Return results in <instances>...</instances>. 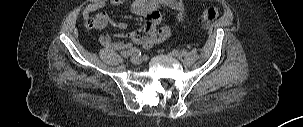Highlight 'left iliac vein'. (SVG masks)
<instances>
[{
  "mask_svg": "<svg viewBox=\"0 0 303 127\" xmlns=\"http://www.w3.org/2000/svg\"><path fill=\"white\" fill-rule=\"evenodd\" d=\"M171 56H173L174 58L179 59V60L182 58L181 53L178 52L177 50H174V51L171 53Z\"/></svg>",
  "mask_w": 303,
  "mask_h": 127,
  "instance_id": "obj_1",
  "label": "left iliac vein"
}]
</instances>
